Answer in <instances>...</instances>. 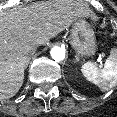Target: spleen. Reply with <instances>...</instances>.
Wrapping results in <instances>:
<instances>
[{"instance_id": "3e777b00", "label": "spleen", "mask_w": 117, "mask_h": 117, "mask_svg": "<svg viewBox=\"0 0 117 117\" xmlns=\"http://www.w3.org/2000/svg\"><path fill=\"white\" fill-rule=\"evenodd\" d=\"M81 71L88 81L101 90H109L117 83V49H112L105 65L99 69L94 63L86 62Z\"/></svg>"}]
</instances>
